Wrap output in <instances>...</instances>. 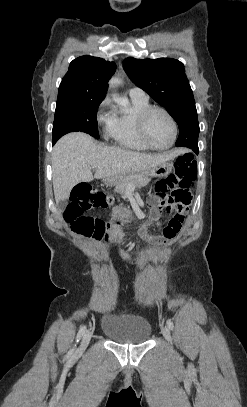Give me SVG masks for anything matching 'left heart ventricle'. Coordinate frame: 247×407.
Here are the masks:
<instances>
[{"instance_id": "obj_1", "label": "left heart ventricle", "mask_w": 247, "mask_h": 407, "mask_svg": "<svg viewBox=\"0 0 247 407\" xmlns=\"http://www.w3.org/2000/svg\"><path fill=\"white\" fill-rule=\"evenodd\" d=\"M146 132L152 144L165 147L173 137V126L165 114L153 112L147 120Z\"/></svg>"}]
</instances>
